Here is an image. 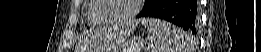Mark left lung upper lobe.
Listing matches in <instances>:
<instances>
[{"instance_id": "5c2ea615", "label": "left lung upper lobe", "mask_w": 261, "mask_h": 52, "mask_svg": "<svg viewBox=\"0 0 261 52\" xmlns=\"http://www.w3.org/2000/svg\"><path fill=\"white\" fill-rule=\"evenodd\" d=\"M153 0H146V4H145V7L149 6L151 3H152ZM144 7V8H145Z\"/></svg>"}]
</instances>
